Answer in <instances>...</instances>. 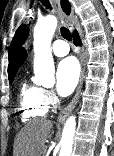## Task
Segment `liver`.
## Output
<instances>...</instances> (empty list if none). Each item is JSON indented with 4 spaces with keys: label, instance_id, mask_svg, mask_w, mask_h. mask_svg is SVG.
<instances>
[{
    "label": "liver",
    "instance_id": "6515ba94",
    "mask_svg": "<svg viewBox=\"0 0 114 156\" xmlns=\"http://www.w3.org/2000/svg\"><path fill=\"white\" fill-rule=\"evenodd\" d=\"M52 128L50 120L35 119L27 123L16 135L13 156H41Z\"/></svg>",
    "mask_w": 114,
    "mask_h": 156
}]
</instances>
